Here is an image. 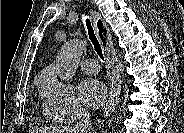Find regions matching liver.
<instances>
[{
  "instance_id": "obj_1",
  "label": "liver",
  "mask_w": 184,
  "mask_h": 133,
  "mask_svg": "<svg viewBox=\"0 0 184 133\" xmlns=\"http://www.w3.org/2000/svg\"><path fill=\"white\" fill-rule=\"evenodd\" d=\"M36 133H74L72 129L68 128V127H53V128H49V127H44L41 129H36L35 130Z\"/></svg>"
}]
</instances>
